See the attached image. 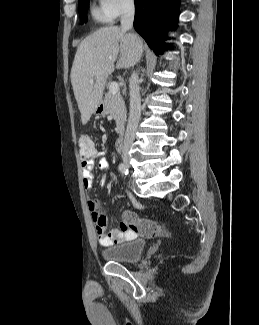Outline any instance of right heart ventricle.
<instances>
[{
  "instance_id": "right-heart-ventricle-1",
  "label": "right heart ventricle",
  "mask_w": 259,
  "mask_h": 325,
  "mask_svg": "<svg viewBox=\"0 0 259 325\" xmlns=\"http://www.w3.org/2000/svg\"><path fill=\"white\" fill-rule=\"evenodd\" d=\"M91 13H92V16L94 19L96 20H99V21H108L103 15L102 13L100 12V10L93 6L92 9H91Z\"/></svg>"
}]
</instances>
